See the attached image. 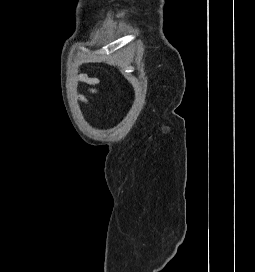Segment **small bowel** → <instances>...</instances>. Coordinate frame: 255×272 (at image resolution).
<instances>
[{
    "label": "small bowel",
    "instance_id": "c3829d8e",
    "mask_svg": "<svg viewBox=\"0 0 255 272\" xmlns=\"http://www.w3.org/2000/svg\"><path fill=\"white\" fill-rule=\"evenodd\" d=\"M78 80L89 85H95L98 82L96 78L90 77L86 74H80L78 76ZM79 99L84 103H88V99L82 94L79 95Z\"/></svg>",
    "mask_w": 255,
    "mask_h": 272
}]
</instances>
